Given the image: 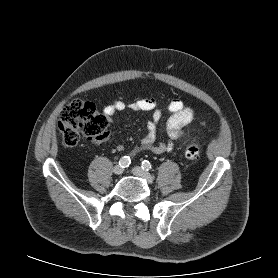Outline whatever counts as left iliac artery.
Here are the masks:
<instances>
[{
  "mask_svg": "<svg viewBox=\"0 0 278 278\" xmlns=\"http://www.w3.org/2000/svg\"><path fill=\"white\" fill-rule=\"evenodd\" d=\"M141 167L144 169V170H150L152 168V165L151 163L148 161V160H144L142 161L141 163Z\"/></svg>",
  "mask_w": 278,
  "mask_h": 278,
  "instance_id": "obj_1",
  "label": "left iliac artery"
}]
</instances>
